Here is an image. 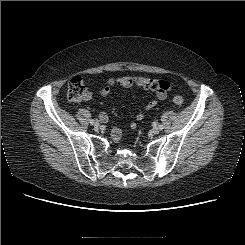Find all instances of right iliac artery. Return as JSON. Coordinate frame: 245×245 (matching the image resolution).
Returning a JSON list of instances; mask_svg holds the SVG:
<instances>
[{
	"label": "right iliac artery",
	"instance_id": "1",
	"mask_svg": "<svg viewBox=\"0 0 245 245\" xmlns=\"http://www.w3.org/2000/svg\"><path fill=\"white\" fill-rule=\"evenodd\" d=\"M90 123L93 125L95 123V120H90Z\"/></svg>",
	"mask_w": 245,
	"mask_h": 245
}]
</instances>
